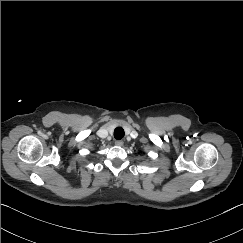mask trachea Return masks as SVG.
I'll list each match as a JSON object with an SVG mask.
<instances>
[{
    "label": "trachea",
    "instance_id": "obj_1",
    "mask_svg": "<svg viewBox=\"0 0 243 243\" xmlns=\"http://www.w3.org/2000/svg\"><path fill=\"white\" fill-rule=\"evenodd\" d=\"M125 135V132L123 130V128L121 127H117L115 130H114V137L118 140L122 139Z\"/></svg>",
    "mask_w": 243,
    "mask_h": 243
}]
</instances>
